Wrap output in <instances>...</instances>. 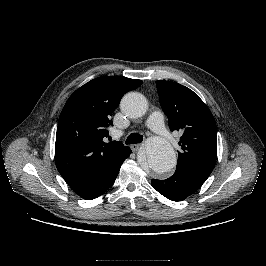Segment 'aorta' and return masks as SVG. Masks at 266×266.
Returning a JSON list of instances; mask_svg holds the SVG:
<instances>
[{
	"instance_id": "aorta-1",
	"label": "aorta",
	"mask_w": 266,
	"mask_h": 266,
	"mask_svg": "<svg viewBox=\"0 0 266 266\" xmlns=\"http://www.w3.org/2000/svg\"><path fill=\"white\" fill-rule=\"evenodd\" d=\"M121 110L131 118L141 117L147 111L146 98L140 93L130 92L123 97ZM138 161L143 168H149L152 172L162 175L170 172L177 160L174 149L167 140L153 137L139 154Z\"/></svg>"
}]
</instances>
